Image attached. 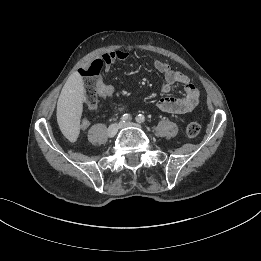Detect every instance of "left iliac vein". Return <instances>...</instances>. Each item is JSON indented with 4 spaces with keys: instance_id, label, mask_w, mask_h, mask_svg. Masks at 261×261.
<instances>
[{
    "instance_id": "left-iliac-vein-1",
    "label": "left iliac vein",
    "mask_w": 261,
    "mask_h": 261,
    "mask_svg": "<svg viewBox=\"0 0 261 261\" xmlns=\"http://www.w3.org/2000/svg\"><path fill=\"white\" fill-rule=\"evenodd\" d=\"M128 127H136V128H142L140 125L133 123V122H126V123H122L120 125V129L122 128H128Z\"/></svg>"
}]
</instances>
